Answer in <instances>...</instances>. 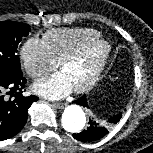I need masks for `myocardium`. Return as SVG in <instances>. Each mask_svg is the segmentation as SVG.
<instances>
[{"mask_svg": "<svg viewBox=\"0 0 153 153\" xmlns=\"http://www.w3.org/2000/svg\"><path fill=\"white\" fill-rule=\"evenodd\" d=\"M95 49H99L98 60L86 81L73 88L77 93L86 92L98 81L110 57L112 51L111 43L107 39L97 37L82 45L60 62V68L63 71L65 67L80 61Z\"/></svg>", "mask_w": 153, "mask_h": 153, "instance_id": "obj_1", "label": "myocardium"}]
</instances>
